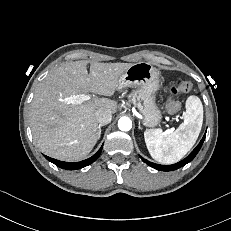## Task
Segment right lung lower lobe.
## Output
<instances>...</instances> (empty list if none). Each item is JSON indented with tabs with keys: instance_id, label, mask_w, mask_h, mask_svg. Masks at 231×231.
Returning <instances> with one entry per match:
<instances>
[{
	"instance_id": "98d812e1",
	"label": "right lung lower lobe",
	"mask_w": 231,
	"mask_h": 231,
	"mask_svg": "<svg viewBox=\"0 0 231 231\" xmlns=\"http://www.w3.org/2000/svg\"><path fill=\"white\" fill-rule=\"evenodd\" d=\"M102 147L92 157H90V158H88L86 160H83L81 162H75V163L63 162V161H59V160L50 158L48 156H45V158L47 160H49L50 162L54 163L56 166L62 168V169L76 170V169H80V168L86 167V166L90 165L91 163H93L99 157V155H100V153L102 151Z\"/></svg>"
}]
</instances>
